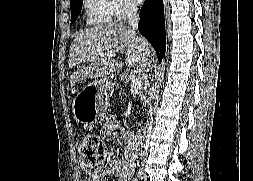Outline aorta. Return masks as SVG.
Here are the masks:
<instances>
[{"label":"aorta","instance_id":"aorta-1","mask_svg":"<svg viewBox=\"0 0 253 181\" xmlns=\"http://www.w3.org/2000/svg\"><path fill=\"white\" fill-rule=\"evenodd\" d=\"M165 65H166V62H165V60H163L159 66V81H160V83L164 79Z\"/></svg>","mask_w":253,"mask_h":181}]
</instances>
